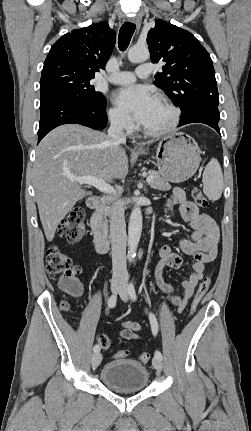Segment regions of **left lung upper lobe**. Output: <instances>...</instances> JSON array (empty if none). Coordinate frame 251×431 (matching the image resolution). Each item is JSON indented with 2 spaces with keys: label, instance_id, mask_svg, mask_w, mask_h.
<instances>
[{
  "label": "left lung upper lobe",
  "instance_id": "left-lung-upper-lobe-1",
  "mask_svg": "<svg viewBox=\"0 0 251 431\" xmlns=\"http://www.w3.org/2000/svg\"><path fill=\"white\" fill-rule=\"evenodd\" d=\"M153 63L165 62L154 84L181 109L182 118L201 108H217L219 95L209 53L187 30L156 20L147 35Z\"/></svg>",
  "mask_w": 251,
  "mask_h": 431
}]
</instances>
